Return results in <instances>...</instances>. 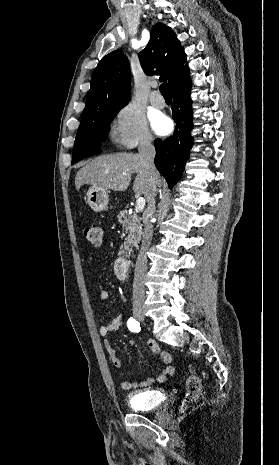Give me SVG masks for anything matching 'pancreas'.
<instances>
[{"instance_id": "obj_1", "label": "pancreas", "mask_w": 279, "mask_h": 465, "mask_svg": "<svg viewBox=\"0 0 279 465\" xmlns=\"http://www.w3.org/2000/svg\"><path fill=\"white\" fill-rule=\"evenodd\" d=\"M118 221L124 227L127 238L122 246V253L128 252L132 247H138V243L142 236L141 219L137 215L129 214L127 210L120 211L118 214Z\"/></svg>"}]
</instances>
